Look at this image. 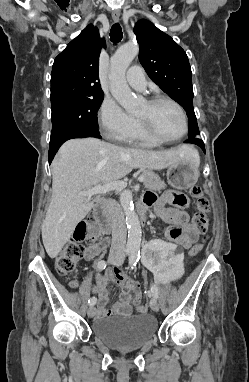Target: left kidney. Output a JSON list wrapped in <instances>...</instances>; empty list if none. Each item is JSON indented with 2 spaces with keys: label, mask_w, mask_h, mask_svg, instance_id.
Returning a JSON list of instances; mask_svg holds the SVG:
<instances>
[{
  "label": "left kidney",
  "mask_w": 249,
  "mask_h": 382,
  "mask_svg": "<svg viewBox=\"0 0 249 382\" xmlns=\"http://www.w3.org/2000/svg\"><path fill=\"white\" fill-rule=\"evenodd\" d=\"M170 244L163 237H153L142 246L143 252L139 257L140 266L147 267L149 273L153 272L155 282L159 280L157 277H162L160 280L164 287H171L175 280L173 277H185L187 272V267L183 266L181 246Z\"/></svg>",
  "instance_id": "5707ae66"
}]
</instances>
